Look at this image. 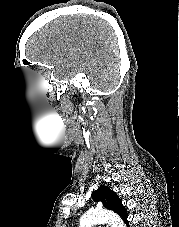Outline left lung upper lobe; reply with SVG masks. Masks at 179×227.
<instances>
[{"label": "left lung upper lobe", "instance_id": "obj_1", "mask_svg": "<svg viewBox=\"0 0 179 227\" xmlns=\"http://www.w3.org/2000/svg\"><path fill=\"white\" fill-rule=\"evenodd\" d=\"M91 197L96 202L101 201L105 208L112 210L118 215H120V217L124 220L125 223L128 222V215L125 210V207L122 204V201L113 190H110L109 187H99L96 191L92 192Z\"/></svg>", "mask_w": 179, "mask_h": 227}]
</instances>
